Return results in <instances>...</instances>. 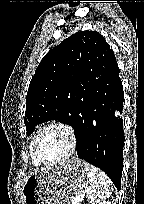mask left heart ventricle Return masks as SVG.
<instances>
[{
	"label": "left heart ventricle",
	"instance_id": "b2bd125f",
	"mask_svg": "<svg viewBox=\"0 0 144 204\" xmlns=\"http://www.w3.org/2000/svg\"><path fill=\"white\" fill-rule=\"evenodd\" d=\"M69 144V138L63 130L51 128L40 135L36 152L40 159L52 161L65 155L69 149Z\"/></svg>",
	"mask_w": 144,
	"mask_h": 204
}]
</instances>
